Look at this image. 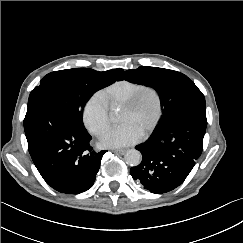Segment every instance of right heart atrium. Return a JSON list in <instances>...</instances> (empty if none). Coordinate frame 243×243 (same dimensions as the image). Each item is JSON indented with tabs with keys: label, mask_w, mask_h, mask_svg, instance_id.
<instances>
[{
	"label": "right heart atrium",
	"mask_w": 243,
	"mask_h": 243,
	"mask_svg": "<svg viewBox=\"0 0 243 243\" xmlns=\"http://www.w3.org/2000/svg\"><path fill=\"white\" fill-rule=\"evenodd\" d=\"M86 129L95 136H100L109 126L108 104L101 93L93 94L85 103L82 112Z\"/></svg>",
	"instance_id": "obj_1"
}]
</instances>
